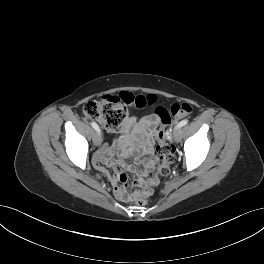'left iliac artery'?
<instances>
[{
  "label": "left iliac artery",
  "mask_w": 264,
  "mask_h": 264,
  "mask_svg": "<svg viewBox=\"0 0 264 264\" xmlns=\"http://www.w3.org/2000/svg\"><path fill=\"white\" fill-rule=\"evenodd\" d=\"M186 124H188V120L187 119L182 120L176 127H182V126H185Z\"/></svg>",
  "instance_id": "obj_1"
}]
</instances>
